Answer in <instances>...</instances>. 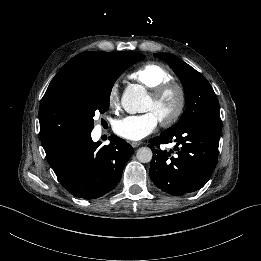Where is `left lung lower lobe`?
Here are the masks:
<instances>
[{"instance_id":"left-lung-lower-lobe-1","label":"left lung lower lobe","mask_w":261,"mask_h":261,"mask_svg":"<svg viewBox=\"0 0 261 261\" xmlns=\"http://www.w3.org/2000/svg\"><path fill=\"white\" fill-rule=\"evenodd\" d=\"M222 126L211 121H198L170 134L162 132L150 140V147L176 142L174 150L154 148L150 178L161 190L182 196L202 188L211 177L218 160Z\"/></svg>"}]
</instances>
